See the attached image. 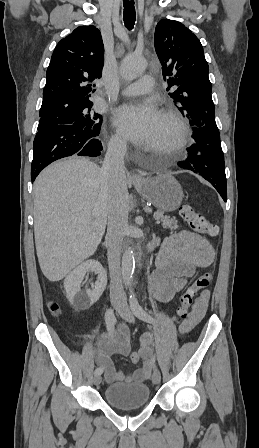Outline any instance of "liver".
Listing matches in <instances>:
<instances>
[{"mask_svg":"<svg viewBox=\"0 0 259 448\" xmlns=\"http://www.w3.org/2000/svg\"><path fill=\"white\" fill-rule=\"evenodd\" d=\"M88 158L57 160L33 184L34 236L39 266L59 282L95 254L108 216V192Z\"/></svg>","mask_w":259,"mask_h":448,"instance_id":"obj_1","label":"liver"}]
</instances>
